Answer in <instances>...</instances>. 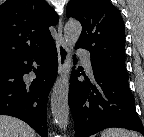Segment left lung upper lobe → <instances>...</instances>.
I'll return each instance as SVG.
<instances>
[{"label":"left lung upper lobe","instance_id":"5c2ea615","mask_svg":"<svg viewBox=\"0 0 144 137\" xmlns=\"http://www.w3.org/2000/svg\"><path fill=\"white\" fill-rule=\"evenodd\" d=\"M66 16L82 24L76 47L89 50L92 60L127 73L124 21L109 0H70Z\"/></svg>","mask_w":144,"mask_h":137}]
</instances>
